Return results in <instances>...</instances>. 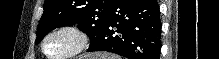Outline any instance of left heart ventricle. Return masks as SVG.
<instances>
[{"label":"left heart ventricle","instance_id":"b2bd125f","mask_svg":"<svg viewBox=\"0 0 219 59\" xmlns=\"http://www.w3.org/2000/svg\"><path fill=\"white\" fill-rule=\"evenodd\" d=\"M73 36L65 33L51 37L46 43V52L51 56H62L70 52L75 46Z\"/></svg>","mask_w":219,"mask_h":59}]
</instances>
